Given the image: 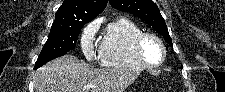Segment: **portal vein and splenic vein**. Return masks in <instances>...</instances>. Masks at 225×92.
<instances>
[{
  "label": "portal vein and splenic vein",
  "instance_id": "portal-vein-and-splenic-vein-1",
  "mask_svg": "<svg viewBox=\"0 0 225 92\" xmlns=\"http://www.w3.org/2000/svg\"><path fill=\"white\" fill-rule=\"evenodd\" d=\"M92 88H95V86L92 84H89L88 86H86V89H92Z\"/></svg>",
  "mask_w": 225,
  "mask_h": 92
}]
</instances>
